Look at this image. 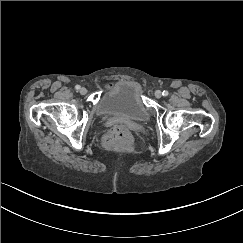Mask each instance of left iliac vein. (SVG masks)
<instances>
[{"label": "left iliac vein", "mask_w": 243, "mask_h": 243, "mask_svg": "<svg viewBox=\"0 0 243 243\" xmlns=\"http://www.w3.org/2000/svg\"><path fill=\"white\" fill-rule=\"evenodd\" d=\"M155 97H156V98H161V97H162V92H161L160 90H157V91L155 92Z\"/></svg>", "instance_id": "obj_1"}]
</instances>
